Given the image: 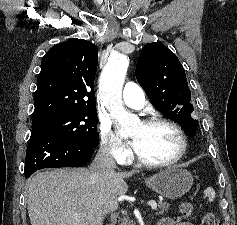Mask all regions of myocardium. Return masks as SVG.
Returning <instances> with one entry per match:
<instances>
[{"mask_svg": "<svg viewBox=\"0 0 237 225\" xmlns=\"http://www.w3.org/2000/svg\"><path fill=\"white\" fill-rule=\"evenodd\" d=\"M142 124L146 127L164 125V126H168L172 128L178 135V138L180 141V148H179L178 153L173 158L168 159L166 161H159V162L147 161L144 158H142L137 152H135L134 158L140 165H143L149 168H162V167L172 166L183 158V156L185 155L187 151L188 142H187V138L183 129L176 122L166 119V118L154 117V118H150L144 121Z\"/></svg>", "mask_w": 237, "mask_h": 225, "instance_id": "obj_1", "label": "myocardium"}]
</instances>
